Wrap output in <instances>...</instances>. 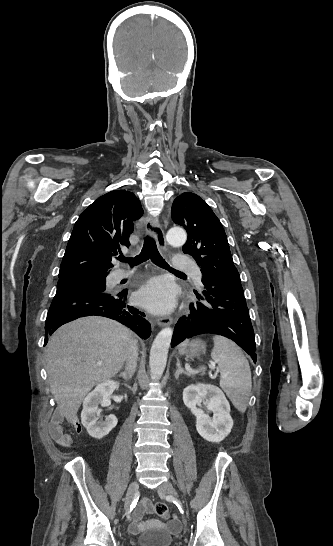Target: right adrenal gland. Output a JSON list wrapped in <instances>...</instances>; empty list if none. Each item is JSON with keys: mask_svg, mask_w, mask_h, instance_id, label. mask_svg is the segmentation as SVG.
Segmentation results:
<instances>
[{"mask_svg": "<svg viewBox=\"0 0 333 546\" xmlns=\"http://www.w3.org/2000/svg\"><path fill=\"white\" fill-rule=\"evenodd\" d=\"M120 377H122L124 379L125 382H127L128 380H130L132 378V373H128V372H121L119 374Z\"/></svg>", "mask_w": 333, "mask_h": 546, "instance_id": "2a0ac1e0", "label": "right adrenal gland"}]
</instances>
